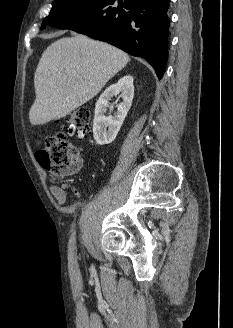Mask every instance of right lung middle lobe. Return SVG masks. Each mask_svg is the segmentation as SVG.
<instances>
[{"instance_id": "right-lung-middle-lobe-1", "label": "right lung middle lobe", "mask_w": 233, "mask_h": 328, "mask_svg": "<svg viewBox=\"0 0 233 328\" xmlns=\"http://www.w3.org/2000/svg\"><path fill=\"white\" fill-rule=\"evenodd\" d=\"M97 0H54L50 14L43 20L41 29L46 24L52 25L55 21L72 15L84 9Z\"/></svg>"}]
</instances>
